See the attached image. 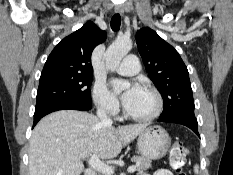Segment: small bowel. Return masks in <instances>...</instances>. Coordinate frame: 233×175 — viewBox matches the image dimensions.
Segmentation results:
<instances>
[{"mask_svg":"<svg viewBox=\"0 0 233 175\" xmlns=\"http://www.w3.org/2000/svg\"><path fill=\"white\" fill-rule=\"evenodd\" d=\"M139 175H150V174L141 173ZM154 175H174V174L171 171L167 170V169H160V170L156 171Z\"/></svg>","mask_w":233,"mask_h":175,"instance_id":"obj_1","label":"small bowel"}]
</instances>
